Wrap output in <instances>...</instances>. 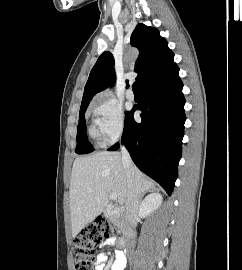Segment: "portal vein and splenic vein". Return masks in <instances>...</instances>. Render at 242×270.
<instances>
[{
	"instance_id": "portal-vein-and-splenic-vein-1",
	"label": "portal vein and splenic vein",
	"mask_w": 242,
	"mask_h": 270,
	"mask_svg": "<svg viewBox=\"0 0 242 270\" xmlns=\"http://www.w3.org/2000/svg\"><path fill=\"white\" fill-rule=\"evenodd\" d=\"M110 198H111L112 200H117V194L111 193V194H110Z\"/></svg>"
}]
</instances>
